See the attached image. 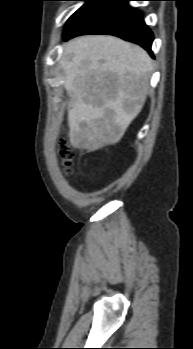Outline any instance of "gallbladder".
Here are the masks:
<instances>
[{
    "instance_id": "bac80fb5",
    "label": "gallbladder",
    "mask_w": 193,
    "mask_h": 349,
    "mask_svg": "<svg viewBox=\"0 0 193 349\" xmlns=\"http://www.w3.org/2000/svg\"><path fill=\"white\" fill-rule=\"evenodd\" d=\"M114 75L113 74H109V77H113Z\"/></svg>"
}]
</instances>
